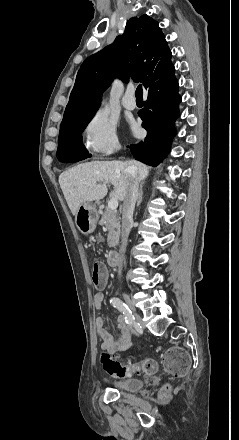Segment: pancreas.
<instances>
[{
    "label": "pancreas",
    "instance_id": "pancreas-1",
    "mask_svg": "<svg viewBox=\"0 0 239 440\" xmlns=\"http://www.w3.org/2000/svg\"><path fill=\"white\" fill-rule=\"evenodd\" d=\"M100 224L101 226H105V228L108 230L107 244L109 248L118 246L121 234V224L120 218L117 216V212H115V210L105 208L100 220Z\"/></svg>",
    "mask_w": 239,
    "mask_h": 440
}]
</instances>
